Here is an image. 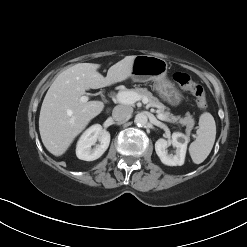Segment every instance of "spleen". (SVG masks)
Here are the masks:
<instances>
[{
  "label": "spleen",
  "instance_id": "3e777b00",
  "mask_svg": "<svg viewBox=\"0 0 247 247\" xmlns=\"http://www.w3.org/2000/svg\"><path fill=\"white\" fill-rule=\"evenodd\" d=\"M196 133V140L190 144L189 153L193 162L200 164L210 154L216 138V124L210 113L201 114Z\"/></svg>",
  "mask_w": 247,
  "mask_h": 247
}]
</instances>
